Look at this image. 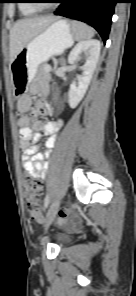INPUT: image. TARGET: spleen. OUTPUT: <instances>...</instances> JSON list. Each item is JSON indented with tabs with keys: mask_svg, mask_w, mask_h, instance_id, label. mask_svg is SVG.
<instances>
[{
	"mask_svg": "<svg viewBox=\"0 0 136 296\" xmlns=\"http://www.w3.org/2000/svg\"><path fill=\"white\" fill-rule=\"evenodd\" d=\"M71 27H72L74 38L78 41L89 39L93 37L95 34L94 30L90 26L79 21H73L71 23Z\"/></svg>",
	"mask_w": 136,
	"mask_h": 296,
	"instance_id": "spleen-1",
	"label": "spleen"
}]
</instances>
